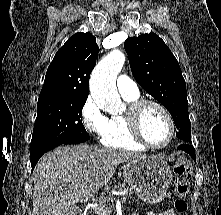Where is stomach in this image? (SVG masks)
<instances>
[{
	"mask_svg": "<svg viewBox=\"0 0 221 215\" xmlns=\"http://www.w3.org/2000/svg\"><path fill=\"white\" fill-rule=\"evenodd\" d=\"M123 177L138 198L151 204L165 198L173 181L170 166L160 156L128 161L123 166Z\"/></svg>",
	"mask_w": 221,
	"mask_h": 215,
	"instance_id": "obj_1",
	"label": "stomach"
}]
</instances>
